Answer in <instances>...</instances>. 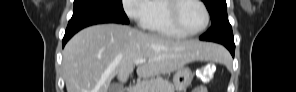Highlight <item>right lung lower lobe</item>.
Instances as JSON below:
<instances>
[{"mask_svg":"<svg viewBox=\"0 0 296 92\" xmlns=\"http://www.w3.org/2000/svg\"><path fill=\"white\" fill-rule=\"evenodd\" d=\"M101 23H121L116 20L101 17V16H83L78 18H71L68 23L62 45L66 44V42L79 30L94 24H101ZM123 24V23H121Z\"/></svg>","mask_w":296,"mask_h":92,"instance_id":"obj_1","label":"right lung lower lobe"}]
</instances>
